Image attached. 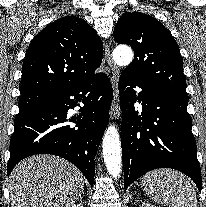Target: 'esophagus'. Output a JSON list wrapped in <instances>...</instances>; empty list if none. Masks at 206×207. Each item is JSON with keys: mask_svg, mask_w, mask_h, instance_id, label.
Instances as JSON below:
<instances>
[{"mask_svg": "<svg viewBox=\"0 0 206 207\" xmlns=\"http://www.w3.org/2000/svg\"><path fill=\"white\" fill-rule=\"evenodd\" d=\"M105 60L111 70V82L113 87V100L110 109V118L116 120L119 119L120 116L119 89H118L119 69L117 66L113 64L109 44H106L105 47Z\"/></svg>", "mask_w": 206, "mask_h": 207, "instance_id": "34e87169", "label": "esophagus"}]
</instances>
